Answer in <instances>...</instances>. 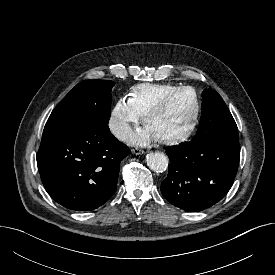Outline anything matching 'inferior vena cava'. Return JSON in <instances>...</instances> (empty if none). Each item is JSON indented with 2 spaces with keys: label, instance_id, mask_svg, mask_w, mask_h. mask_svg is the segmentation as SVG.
I'll return each instance as SVG.
<instances>
[{
  "label": "inferior vena cava",
  "instance_id": "1",
  "mask_svg": "<svg viewBox=\"0 0 275 275\" xmlns=\"http://www.w3.org/2000/svg\"><path fill=\"white\" fill-rule=\"evenodd\" d=\"M111 131L119 140H126L132 132L130 126L123 122L112 124Z\"/></svg>",
  "mask_w": 275,
  "mask_h": 275
}]
</instances>
